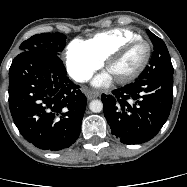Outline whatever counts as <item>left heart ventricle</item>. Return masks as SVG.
Returning a JSON list of instances; mask_svg holds the SVG:
<instances>
[{
    "mask_svg": "<svg viewBox=\"0 0 187 187\" xmlns=\"http://www.w3.org/2000/svg\"><path fill=\"white\" fill-rule=\"evenodd\" d=\"M146 53V45L137 42L131 45L120 57L113 60L107 69L115 78L127 76L142 64Z\"/></svg>",
    "mask_w": 187,
    "mask_h": 187,
    "instance_id": "left-heart-ventricle-1",
    "label": "left heart ventricle"
}]
</instances>
